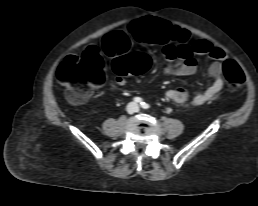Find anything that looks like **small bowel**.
Masks as SVG:
<instances>
[{
  "instance_id": "1",
  "label": "small bowel",
  "mask_w": 258,
  "mask_h": 206,
  "mask_svg": "<svg viewBox=\"0 0 258 206\" xmlns=\"http://www.w3.org/2000/svg\"><path fill=\"white\" fill-rule=\"evenodd\" d=\"M156 43L161 45V53L165 63L163 73L167 76H188L195 73L197 61L194 54L203 55L213 60L208 68L213 84L204 92L189 99L188 92L183 88L171 89L166 92V98L181 108L196 107L216 101L224 87L223 63L226 53L212 43L192 37L186 30L168 26L154 33ZM130 45V34L126 31H114L107 34L102 43L103 51L115 61L127 51ZM91 48H96L95 46ZM118 86H124L126 79L122 74L114 79Z\"/></svg>"
}]
</instances>
